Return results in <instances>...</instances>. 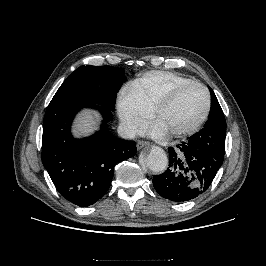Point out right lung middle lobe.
<instances>
[{
    "instance_id": "dd1d6c3e",
    "label": "right lung middle lobe",
    "mask_w": 266,
    "mask_h": 266,
    "mask_svg": "<svg viewBox=\"0 0 266 266\" xmlns=\"http://www.w3.org/2000/svg\"><path fill=\"white\" fill-rule=\"evenodd\" d=\"M125 78L122 69L112 66H81L63 82L52 100L98 104L113 111L116 93Z\"/></svg>"
}]
</instances>
